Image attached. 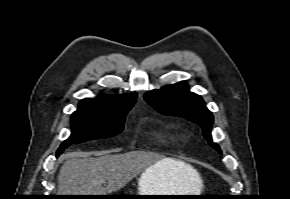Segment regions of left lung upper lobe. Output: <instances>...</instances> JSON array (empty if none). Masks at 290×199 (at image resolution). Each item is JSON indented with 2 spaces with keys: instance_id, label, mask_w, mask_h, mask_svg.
Instances as JSON below:
<instances>
[{
  "instance_id": "5c2ea615",
  "label": "left lung upper lobe",
  "mask_w": 290,
  "mask_h": 199,
  "mask_svg": "<svg viewBox=\"0 0 290 199\" xmlns=\"http://www.w3.org/2000/svg\"><path fill=\"white\" fill-rule=\"evenodd\" d=\"M144 99L164 115L184 117L200 125L204 137L210 141L211 146L222 153L219 146L211 142L212 113L199 95L188 91V84L185 81L147 92Z\"/></svg>"
}]
</instances>
